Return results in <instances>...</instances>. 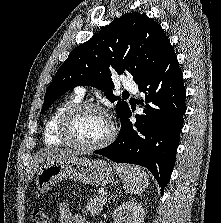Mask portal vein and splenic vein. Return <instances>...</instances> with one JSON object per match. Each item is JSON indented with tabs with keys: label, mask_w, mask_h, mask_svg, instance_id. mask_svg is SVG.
<instances>
[{
	"label": "portal vein and splenic vein",
	"mask_w": 221,
	"mask_h": 223,
	"mask_svg": "<svg viewBox=\"0 0 221 223\" xmlns=\"http://www.w3.org/2000/svg\"><path fill=\"white\" fill-rule=\"evenodd\" d=\"M101 195L107 197V192H103Z\"/></svg>",
	"instance_id": "obj_1"
}]
</instances>
